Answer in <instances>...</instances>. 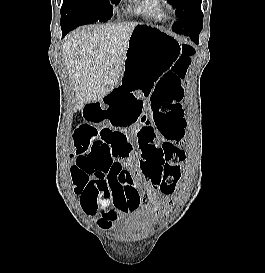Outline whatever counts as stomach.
<instances>
[{
    "label": "stomach",
    "instance_id": "0dacf381",
    "mask_svg": "<svg viewBox=\"0 0 265 273\" xmlns=\"http://www.w3.org/2000/svg\"><path fill=\"white\" fill-rule=\"evenodd\" d=\"M180 43L160 27L140 23L133 30L126 51L123 75L114 90H131L134 95H150V89L172 65ZM135 78L137 80H128Z\"/></svg>",
    "mask_w": 265,
    "mask_h": 273
}]
</instances>
